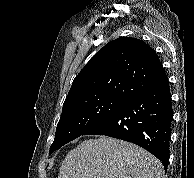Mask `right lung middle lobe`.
<instances>
[{
    "instance_id": "1",
    "label": "right lung middle lobe",
    "mask_w": 194,
    "mask_h": 178,
    "mask_svg": "<svg viewBox=\"0 0 194 178\" xmlns=\"http://www.w3.org/2000/svg\"><path fill=\"white\" fill-rule=\"evenodd\" d=\"M125 101L110 97H92L77 99L63 105L49 155L66 143L83 135L85 131L109 115Z\"/></svg>"
}]
</instances>
